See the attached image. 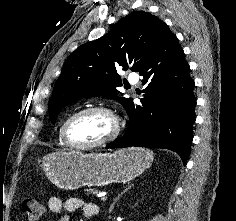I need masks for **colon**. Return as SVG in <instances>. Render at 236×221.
I'll return each instance as SVG.
<instances>
[{
    "instance_id": "1",
    "label": "colon",
    "mask_w": 236,
    "mask_h": 221,
    "mask_svg": "<svg viewBox=\"0 0 236 221\" xmlns=\"http://www.w3.org/2000/svg\"><path fill=\"white\" fill-rule=\"evenodd\" d=\"M22 207L27 221H38L44 212L43 204L36 199H26Z\"/></svg>"
}]
</instances>
